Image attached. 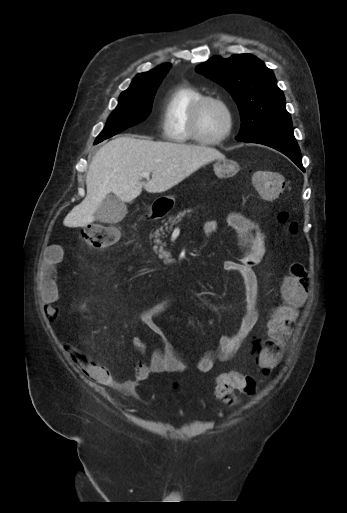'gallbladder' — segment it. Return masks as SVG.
Wrapping results in <instances>:
<instances>
[{"mask_svg":"<svg viewBox=\"0 0 347 513\" xmlns=\"http://www.w3.org/2000/svg\"><path fill=\"white\" fill-rule=\"evenodd\" d=\"M127 214V207L124 202L115 195H108L102 201L94 216L96 220L116 224L124 219Z\"/></svg>","mask_w":347,"mask_h":513,"instance_id":"bac80fb5","label":"gallbladder"}]
</instances>
